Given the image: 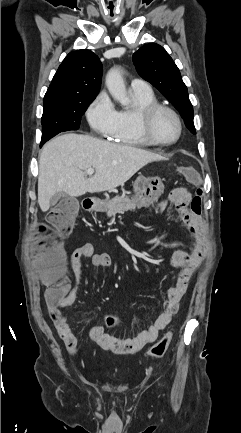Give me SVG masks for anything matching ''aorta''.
I'll list each match as a JSON object with an SVG mask.
<instances>
[{
	"instance_id": "aorta-1",
	"label": "aorta",
	"mask_w": 241,
	"mask_h": 433,
	"mask_svg": "<svg viewBox=\"0 0 241 433\" xmlns=\"http://www.w3.org/2000/svg\"><path fill=\"white\" fill-rule=\"evenodd\" d=\"M106 86L111 96L119 101L121 105L126 106L130 103L123 77L118 69L113 68L107 73Z\"/></svg>"
}]
</instances>
